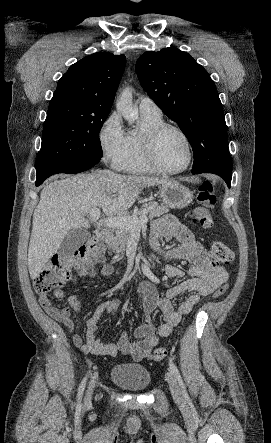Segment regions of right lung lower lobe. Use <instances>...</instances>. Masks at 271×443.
Returning a JSON list of instances; mask_svg holds the SVG:
<instances>
[{"mask_svg": "<svg viewBox=\"0 0 271 443\" xmlns=\"http://www.w3.org/2000/svg\"><path fill=\"white\" fill-rule=\"evenodd\" d=\"M97 163L98 162L94 161H63L40 167L39 169H36L37 179L35 185L39 186L40 184L43 183L44 180H46L48 177H50L53 174L80 173L90 169Z\"/></svg>", "mask_w": 271, "mask_h": 443, "instance_id": "obj_1", "label": "right lung lower lobe"}]
</instances>
